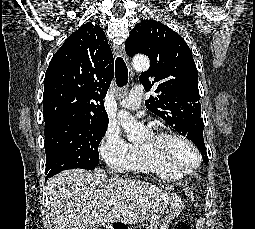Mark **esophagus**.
<instances>
[{
	"mask_svg": "<svg viewBox=\"0 0 255 229\" xmlns=\"http://www.w3.org/2000/svg\"><path fill=\"white\" fill-rule=\"evenodd\" d=\"M113 51L116 55L121 56L127 62L124 45H120V46L113 45Z\"/></svg>",
	"mask_w": 255,
	"mask_h": 229,
	"instance_id": "obj_1",
	"label": "esophagus"
}]
</instances>
